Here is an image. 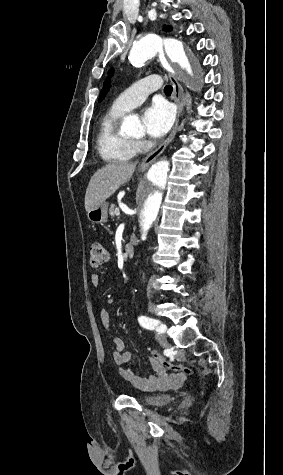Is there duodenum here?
Listing matches in <instances>:
<instances>
[{
    "label": "duodenum",
    "mask_w": 283,
    "mask_h": 475,
    "mask_svg": "<svg viewBox=\"0 0 283 475\" xmlns=\"http://www.w3.org/2000/svg\"><path fill=\"white\" fill-rule=\"evenodd\" d=\"M135 244L133 242H128L125 245V255L127 258H131L134 255Z\"/></svg>",
    "instance_id": "410a0bca"
}]
</instances>
